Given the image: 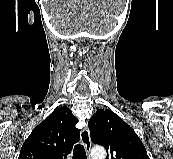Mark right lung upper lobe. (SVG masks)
I'll use <instances>...</instances> for the list:
<instances>
[{
    "mask_svg": "<svg viewBox=\"0 0 173 159\" xmlns=\"http://www.w3.org/2000/svg\"><path fill=\"white\" fill-rule=\"evenodd\" d=\"M77 118L66 106L55 109L33 129L24 142L18 159H66L80 139Z\"/></svg>",
    "mask_w": 173,
    "mask_h": 159,
    "instance_id": "1",
    "label": "right lung upper lobe"
}]
</instances>
